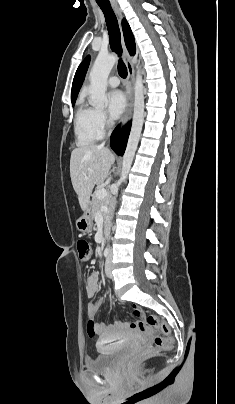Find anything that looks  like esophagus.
<instances>
[{"mask_svg":"<svg viewBox=\"0 0 235 404\" xmlns=\"http://www.w3.org/2000/svg\"><path fill=\"white\" fill-rule=\"evenodd\" d=\"M112 6H113L116 14L118 15L119 19H122L123 15H122V12H121L119 6L117 5V3H113ZM122 49H123V54H124V62L127 67L128 78H127V83H126L127 105H126L124 115L121 119V126L124 125L130 119L131 114H132V110H133L132 83H133V78H134V68L131 63V57L128 53V50H127L123 40H122Z\"/></svg>","mask_w":235,"mask_h":404,"instance_id":"obj_1","label":"esophagus"}]
</instances>
